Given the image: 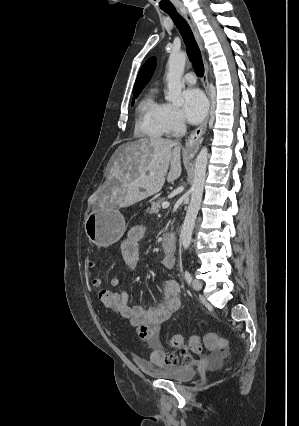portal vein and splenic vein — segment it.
Listing matches in <instances>:
<instances>
[{
    "mask_svg": "<svg viewBox=\"0 0 299 426\" xmlns=\"http://www.w3.org/2000/svg\"><path fill=\"white\" fill-rule=\"evenodd\" d=\"M170 206L169 202H163L162 203V208L163 209H167Z\"/></svg>",
    "mask_w": 299,
    "mask_h": 426,
    "instance_id": "portal-vein-and-splenic-vein-1",
    "label": "portal vein and splenic vein"
}]
</instances>
